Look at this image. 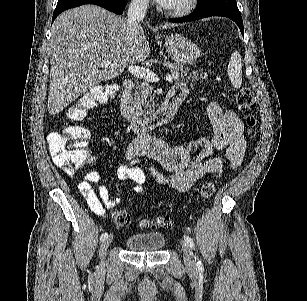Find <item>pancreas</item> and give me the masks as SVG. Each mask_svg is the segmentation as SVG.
Wrapping results in <instances>:
<instances>
[{
  "label": "pancreas",
  "instance_id": "cf45deb5",
  "mask_svg": "<svg viewBox=\"0 0 307 301\" xmlns=\"http://www.w3.org/2000/svg\"><path fill=\"white\" fill-rule=\"evenodd\" d=\"M167 66L171 68V74L178 72L179 78H175V80H181V78H186V80H199L198 70H189L186 66L173 64V62H169ZM152 88L153 84L145 80V82H138L135 90H133L132 104L135 106L136 112H141L143 116H148V114H152L155 110L156 100H154L155 94H153Z\"/></svg>",
  "mask_w": 307,
  "mask_h": 301
}]
</instances>
